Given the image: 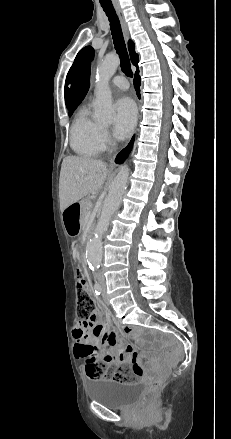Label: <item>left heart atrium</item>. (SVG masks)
<instances>
[{
	"label": "left heart atrium",
	"instance_id": "obj_1",
	"mask_svg": "<svg viewBox=\"0 0 231 439\" xmlns=\"http://www.w3.org/2000/svg\"><path fill=\"white\" fill-rule=\"evenodd\" d=\"M137 119L134 103L128 97H122L115 103L114 134L118 139L127 138Z\"/></svg>",
	"mask_w": 231,
	"mask_h": 439
}]
</instances>
